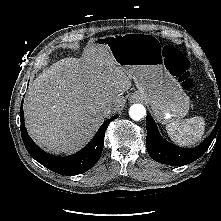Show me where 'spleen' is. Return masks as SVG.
Wrapping results in <instances>:
<instances>
[{"label": "spleen", "instance_id": "3e777b00", "mask_svg": "<svg viewBox=\"0 0 221 221\" xmlns=\"http://www.w3.org/2000/svg\"><path fill=\"white\" fill-rule=\"evenodd\" d=\"M205 121L201 116L178 120L166 126L172 141L181 146H191L200 141L205 131Z\"/></svg>", "mask_w": 221, "mask_h": 221}]
</instances>
